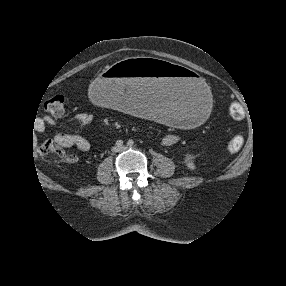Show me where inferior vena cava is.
<instances>
[{
  "label": "inferior vena cava",
  "mask_w": 286,
  "mask_h": 286,
  "mask_svg": "<svg viewBox=\"0 0 286 286\" xmlns=\"http://www.w3.org/2000/svg\"><path fill=\"white\" fill-rule=\"evenodd\" d=\"M113 151H118V148L114 147V148H113Z\"/></svg>",
  "instance_id": "1"
}]
</instances>
